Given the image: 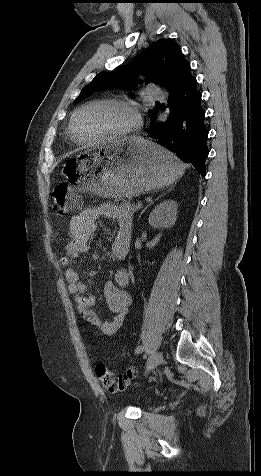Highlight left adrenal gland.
Returning <instances> with one entry per match:
<instances>
[{
	"instance_id": "a2214340",
	"label": "left adrenal gland",
	"mask_w": 261,
	"mask_h": 476,
	"mask_svg": "<svg viewBox=\"0 0 261 476\" xmlns=\"http://www.w3.org/2000/svg\"><path fill=\"white\" fill-rule=\"evenodd\" d=\"M161 196H163V195H161ZM161 196H159L158 198H160ZM158 198H157V199H158ZM152 203H153V202L149 203V205H147V206L141 211V213H140V215H139V218L141 217V215L145 212V210H146Z\"/></svg>"
}]
</instances>
